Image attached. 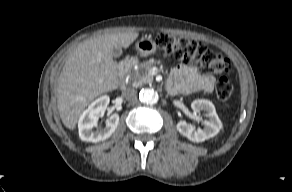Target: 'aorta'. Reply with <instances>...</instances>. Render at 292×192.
Wrapping results in <instances>:
<instances>
[{"mask_svg": "<svg viewBox=\"0 0 292 192\" xmlns=\"http://www.w3.org/2000/svg\"><path fill=\"white\" fill-rule=\"evenodd\" d=\"M139 99L145 104H155L158 102V93L152 88L142 89L139 93Z\"/></svg>", "mask_w": 292, "mask_h": 192, "instance_id": "obj_1", "label": "aorta"}]
</instances>
